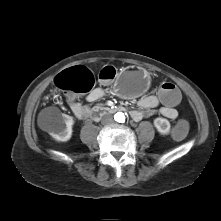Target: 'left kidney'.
<instances>
[{"instance_id": "5707ae66", "label": "left kidney", "mask_w": 221, "mask_h": 221, "mask_svg": "<svg viewBox=\"0 0 221 221\" xmlns=\"http://www.w3.org/2000/svg\"><path fill=\"white\" fill-rule=\"evenodd\" d=\"M157 131L162 135H167L170 132V123L167 119L163 117H158L153 122Z\"/></svg>"}]
</instances>
